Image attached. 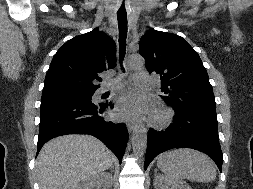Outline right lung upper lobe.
<instances>
[{
    "instance_id": "cb5924a9",
    "label": "right lung upper lobe",
    "mask_w": 253,
    "mask_h": 189,
    "mask_svg": "<svg viewBox=\"0 0 253 189\" xmlns=\"http://www.w3.org/2000/svg\"><path fill=\"white\" fill-rule=\"evenodd\" d=\"M116 63L115 42L98 28L67 41L54 55L43 91L96 90L93 81Z\"/></svg>"
}]
</instances>
